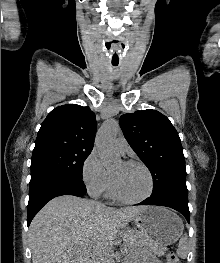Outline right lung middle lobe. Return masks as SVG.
Returning <instances> with one entry per match:
<instances>
[{"instance_id":"right-lung-middle-lobe-1","label":"right lung middle lobe","mask_w":220,"mask_h":263,"mask_svg":"<svg viewBox=\"0 0 220 263\" xmlns=\"http://www.w3.org/2000/svg\"><path fill=\"white\" fill-rule=\"evenodd\" d=\"M91 150L79 148H49L33 152L31 172L48 170L82 179L83 163Z\"/></svg>"}]
</instances>
